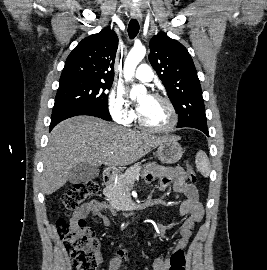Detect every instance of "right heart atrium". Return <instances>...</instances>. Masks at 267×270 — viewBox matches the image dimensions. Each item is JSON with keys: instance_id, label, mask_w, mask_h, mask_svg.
Returning a JSON list of instances; mask_svg holds the SVG:
<instances>
[{"instance_id": "right-heart-atrium-1", "label": "right heart atrium", "mask_w": 267, "mask_h": 270, "mask_svg": "<svg viewBox=\"0 0 267 270\" xmlns=\"http://www.w3.org/2000/svg\"><path fill=\"white\" fill-rule=\"evenodd\" d=\"M109 111L113 119L121 124H129L135 117L120 89L112 90L109 96Z\"/></svg>"}]
</instances>
